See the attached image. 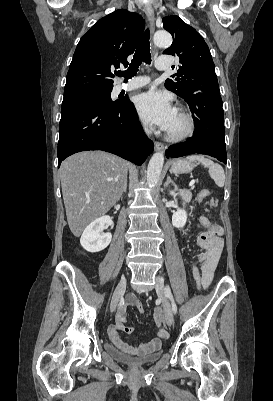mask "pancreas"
Wrapping results in <instances>:
<instances>
[{"label":"pancreas","instance_id":"cf45deb5","mask_svg":"<svg viewBox=\"0 0 273 401\" xmlns=\"http://www.w3.org/2000/svg\"><path fill=\"white\" fill-rule=\"evenodd\" d=\"M180 194L182 198H184V201H186V203H189L190 198H192V192H190V190H181Z\"/></svg>","mask_w":273,"mask_h":401}]
</instances>
